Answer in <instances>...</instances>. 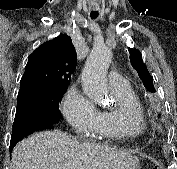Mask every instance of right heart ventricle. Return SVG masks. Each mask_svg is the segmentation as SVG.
<instances>
[{
	"label": "right heart ventricle",
	"mask_w": 177,
	"mask_h": 169,
	"mask_svg": "<svg viewBox=\"0 0 177 169\" xmlns=\"http://www.w3.org/2000/svg\"><path fill=\"white\" fill-rule=\"evenodd\" d=\"M116 107L98 111L95 126L99 139L122 140L140 136L145 128L144 111L136 92L128 86L113 91Z\"/></svg>",
	"instance_id": "1"
}]
</instances>
